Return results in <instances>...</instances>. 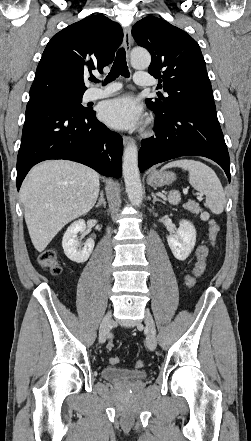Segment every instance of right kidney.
Segmentation results:
<instances>
[{
	"mask_svg": "<svg viewBox=\"0 0 251 441\" xmlns=\"http://www.w3.org/2000/svg\"><path fill=\"white\" fill-rule=\"evenodd\" d=\"M86 228L85 221L79 219L73 222L66 230L63 239L62 247L65 255L73 262L83 263L88 260L94 248V240L88 239L84 243V247L80 248V242L77 234L83 233Z\"/></svg>",
	"mask_w": 251,
	"mask_h": 441,
	"instance_id": "obj_1",
	"label": "right kidney"
}]
</instances>
